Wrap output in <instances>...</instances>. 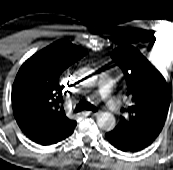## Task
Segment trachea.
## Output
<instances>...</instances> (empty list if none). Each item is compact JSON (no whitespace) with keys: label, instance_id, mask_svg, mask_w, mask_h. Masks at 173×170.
I'll return each instance as SVG.
<instances>
[{"label":"trachea","instance_id":"trachea-1","mask_svg":"<svg viewBox=\"0 0 173 170\" xmlns=\"http://www.w3.org/2000/svg\"><path fill=\"white\" fill-rule=\"evenodd\" d=\"M84 109H85V110H91V111H97V108H96V107H94V106H93L91 103H89L88 101L82 99V100L78 103V105H77L75 111L79 112V111H82V110H84Z\"/></svg>","mask_w":173,"mask_h":170}]
</instances>
